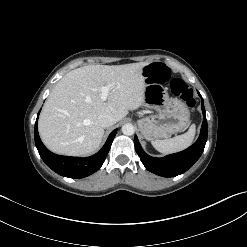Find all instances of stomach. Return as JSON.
Masks as SVG:
<instances>
[{"mask_svg": "<svg viewBox=\"0 0 247 247\" xmlns=\"http://www.w3.org/2000/svg\"><path fill=\"white\" fill-rule=\"evenodd\" d=\"M144 105L157 112L138 121L147 140L167 138L184 130L190 121L187 105L179 98L170 97L167 89L156 82L146 84Z\"/></svg>", "mask_w": 247, "mask_h": 247, "instance_id": "obj_1", "label": "stomach"}]
</instances>
